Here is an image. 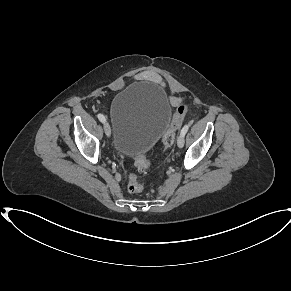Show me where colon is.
I'll return each mask as SVG.
<instances>
[{"label": "colon", "instance_id": "obj_1", "mask_svg": "<svg viewBox=\"0 0 291 291\" xmlns=\"http://www.w3.org/2000/svg\"><path fill=\"white\" fill-rule=\"evenodd\" d=\"M187 111L188 108L186 105H180L177 108L169 128L162 137V144L165 150L173 145L176 133L182 125ZM134 160L137 169L141 172H146L151 166L150 161L142 154L136 155ZM142 188V184L139 182L138 177L135 174H130L128 178V190L131 193H139L142 191Z\"/></svg>", "mask_w": 291, "mask_h": 291}]
</instances>
